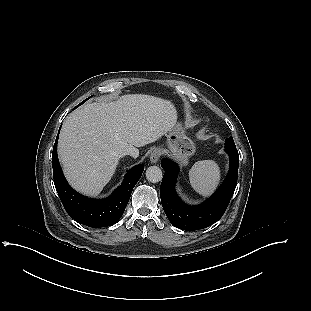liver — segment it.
Masks as SVG:
<instances>
[{
  "label": "liver",
  "mask_w": 311,
  "mask_h": 311,
  "mask_svg": "<svg viewBox=\"0 0 311 311\" xmlns=\"http://www.w3.org/2000/svg\"><path fill=\"white\" fill-rule=\"evenodd\" d=\"M176 121L174 105L150 95L86 104L66 118L60 132L58 155L65 176L79 192L97 195L124 154L137 158V147L167 135Z\"/></svg>",
  "instance_id": "6515ba94"
}]
</instances>
